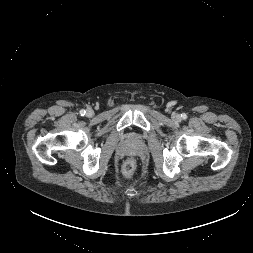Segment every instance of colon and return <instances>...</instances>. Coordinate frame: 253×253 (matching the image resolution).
Masks as SVG:
<instances>
[{
	"label": "colon",
	"mask_w": 253,
	"mask_h": 253,
	"mask_svg": "<svg viewBox=\"0 0 253 253\" xmlns=\"http://www.w3.org/2000/svg\"><path fill=\"white\" fill-rule=\"evenodd\" d=\"M135 162L132 159H128L123 165V174L127 177L133 176L135 172Z\"/></svg>",
	"instance_id": "5ec220e1"
}]
</instances>
